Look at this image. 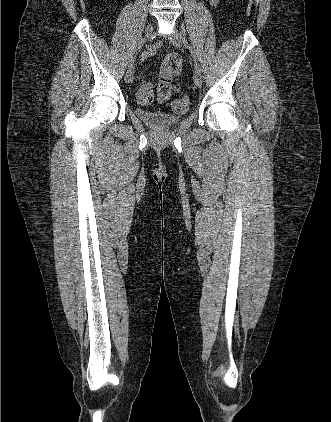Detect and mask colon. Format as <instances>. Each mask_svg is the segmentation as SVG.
Wrapping results in <instances>:
<instances>
[{
    "label": "colon",
    "mask_w": 331,
    "mask_h": 422,
    "mask_svg": "<svg viewBox=\"0 0 331 422\" xmlns=\"http://www.w3.org/2000/svg\"><path fill=\"white\" fill-rule=\"evenodd\" d=\"M182 68V59L180 55L176 53L168 54L161 65L159 83L157 87L158 100L160 102L166 101L174 90H177L179 86L174 84V78L177 77ZM141 102L145 104L146 98H142ZM188 106L187 98L183 97L177 99L172 104V110L174 112L184 111Z\"/></svg>",
    "instance_id": "obj_1"
}]
</instances>
